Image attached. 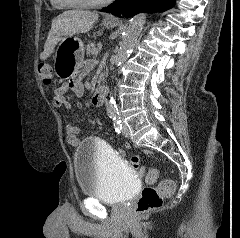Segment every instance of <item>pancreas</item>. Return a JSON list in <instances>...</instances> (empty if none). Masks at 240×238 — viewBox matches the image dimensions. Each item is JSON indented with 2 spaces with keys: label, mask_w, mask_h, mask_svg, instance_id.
<instances>
[{
  "label": "pancreas",
  "mask_w": 240,
  "mask_h": 238,
  "mask_svg": "<svg viewBox=\"0 0 240 238\" xmlns=\"http://www.w3.org/2000/svg\"><path fill=\"white\" fill-rule=\"evenodd\" d=\"M97 50L95 43H89L86 48L87 55H94V52Z\"/></svg>",
  "instance_id": "pancreas-1"
}]
</instances>
